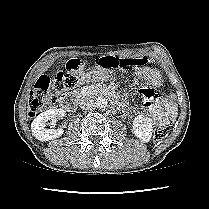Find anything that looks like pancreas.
<instances>
[{
	"instance_id": "cf45deb5",
	"label": "pancreas",
	"mask_w": 209,
	"mask_h": 209,
	"mask_svg": "<svg viewBox=\"0 0 209 209\" xmlns=\"http://www.w3.org/2000/svg\"><path fill=\"white\" fill-rule=\"evenodd\" d=\"M81 92L86 94H97L99 92V88L94 85L85 86L81 89Z\"/></svg>"
}]
</instances>
